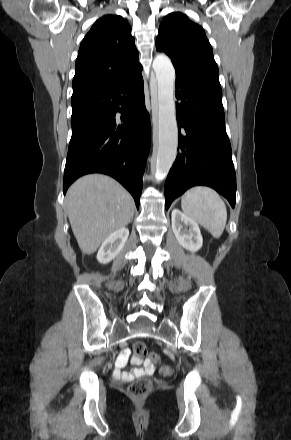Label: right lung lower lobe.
Returning <instances> with one entry per match:
<instances>
[{"label":"right lung lower lobe","mask_w":291,"mask_h":440,"mask_svg":"<svg viewBox=\"0 0 291 440\" xmlns=\"http://www.w3.org/2000/svg\"><path fill=\"white\" fill-rule=\"evenodd\" d=\"M71 105L64 194L80 176L104 173L118 180L139 208L151 137L141 71L110 87L73 93Z\"/></svg>","instance_id":"1"}]
</instances>
